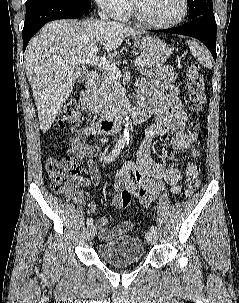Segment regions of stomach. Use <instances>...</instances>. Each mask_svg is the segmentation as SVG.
Here are the masks:
<instances>
[{
  "instance_id": "stomach-1",
  "label": "stomach",
  "mask_w": 239,
  "mask_h": 303,
  "mask_svg": "<svg viewBox=\"0 0 239 303\" xmlns=\"http://www.w3.org/2000/svg\"><path fill=\"white\" fill-rule=\"evenodd\" d=\"M135 46L143 56L157 64L167 61L171 54V47L158 37H138L135 40Z\"/></svg>"
}]
</instances>
